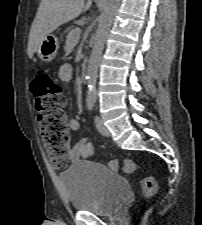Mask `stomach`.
<instances>
[{
    "label": "stomach",
    "instance_id": "obj_1",
    "mask_svg": "<svg viewBox=\"0 0 202 225\" xmlns=\"http://www.w3.org/2000/svg\"><path fill=\"white\" fill-rule=\"evenodd\" d=\"M58 49L59 42L57 37L49 34L41 41L36 50V53L40 60L44 62H50L56 57Z\"/></svg>",
    "mask_w": 202,
    "mask_h": 225
}]
</instances>
